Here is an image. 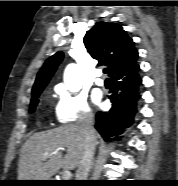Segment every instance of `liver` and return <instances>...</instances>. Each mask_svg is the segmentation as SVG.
Returning <instances> with one entry per match:
<instances>
[{
  "mask_svg": "<svg viewBox=\"0 0 178 186\" xmlns=\"http://www.w3.org/2000/svg\"><path fill=\"white\" fill-rule=\"evenodd\" d=\"M84 142L80 122L33 134L21 149L18 180H49L60 169H75L83 156ZM64 148L67 153L62 156ZM51 152L55 154L43 159Z\"/></svg>",
  "mask_w": 178,
  "mask_h": 186,
  "instance_id": "liver-1",
  "label": "liver"
}]
</instances>
